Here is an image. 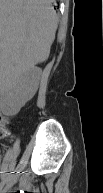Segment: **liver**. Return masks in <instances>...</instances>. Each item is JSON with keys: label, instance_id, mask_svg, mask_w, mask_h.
Returning a JSON list of instances; mask_svg holds the SVG:
<instances>
[{"label": "liver", "instance_id": "6515ba94", "mask_svg": "<svg viewBox=\"0 0 103 193\" xmlns=\"http://www.w3.org/2000/svg\"><path fill=\"white\" fill-rule=\"evenodd\" d=\"M54 0H0L1 81L46 61L55 39Z\"/></svg>", "mask_w": 103, "mask_h": 193}]
</instances>
